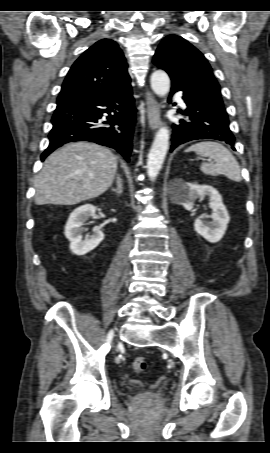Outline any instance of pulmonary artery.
<instances>
[{
    "mask_svg": "<svg viewBox=\"0 0 270 453\" xmlns=\"http://www.w3.org/2000/svg\"><path fill=\"white\" fill-rule=\"evenodd\" d=\"M179 100H180V103L184 105V102H183V100H181V99H179Z\"/></svg>",
    "mask_w": 270,
    "mask_h": 453,
    "instance_id": "1",
    "label": "pulmonary artery"
}]
</instances>
